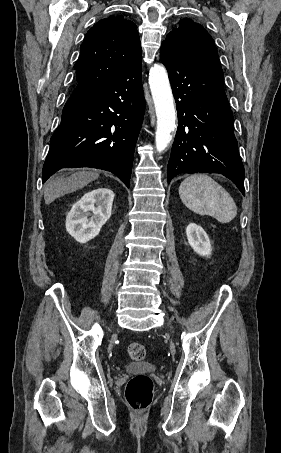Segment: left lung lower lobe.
I'll list each match as a JSON object with an SVG mask.
<instances>
[{"label":"left lung lower lobe","mask_w":281,"mask_h":453,"mask_svg":"<svg viewBox=\"0 0 281 453\" xmlns=\"http://www.w3.org/2000/svg\"><path fill=\"white\" fill-rule=\"evenodd\" d=\"M160 56L169 74L179 125L168 163V183L180 173H219L245 195V172L221 66L185 60L164 45Z\"/></svg>","instance_id":"left-lung-lower-lobe-1"}]
</instances>
